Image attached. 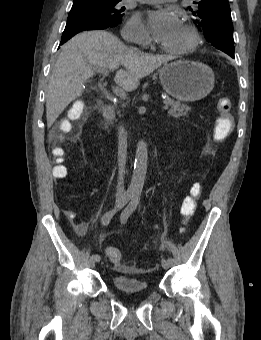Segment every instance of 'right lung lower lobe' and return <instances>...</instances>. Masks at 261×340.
Instances as JSON below:
<instances>
[{"label": "right lung lower lobe", "mask_w": 261, "mask_h": 340, "mask_svg": "<svg viewBox=\"0 0 261 340\" xmlns=\"http://www.w3.org/2000/svg\"><path fill=\"white\" fill-rule=\"evenodd\" d=\"M107 22H101L96 17L88 14H71L67 18V24L62 34L61 45L75 34L85 30H101L110 28Z\"/></svg>", "instance_id": "obj_1"}]
</instances>
